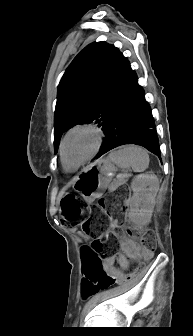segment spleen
I'll list each match as a JSON object with an SVG mask.
<instances>
[{
	"label": "spleen",
	"mask_w": 193,
	"mask_h": 336,
	"mask_svg": "<svg viewBox=\"0 0 193 336\" xmlns=\"http://www.w3.org/2000/svg\"><path fill=\"white\" fill-rule=\"evenodd\" d=\"M108 160L121 168L131 167L134 172H142L148 168L149 155L143 148L129 145L112 151Z\"/></svg>",
	"instance_id": "3e777b00"
}]
</instances>
